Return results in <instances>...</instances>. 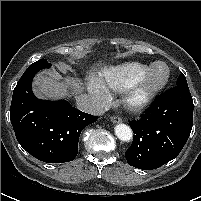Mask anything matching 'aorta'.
<instances>
[{"label":"aorta","mask_w":201,"mask_h":201,"mask_svg":"<svg viewBox=\"0 0 201 201\" xmlns=\"http://www.w3.org/2000/svg\"><path fill=\"white\" fill-rule=\"evenodd\" d=\"M115 134L122 141H130L133 137L131 128L126 124H117L115 126Z\"/></svg>","instance_id":"762f6f07"}]
</instances>
